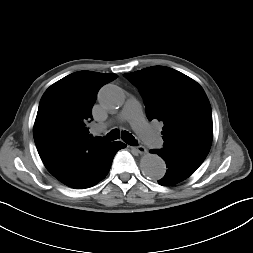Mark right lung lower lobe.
<instances>
[{"label": "right lung lower lobe", "mask_w": 253, "mask_h": 253, "mask_svg": "<svg viewBox=\"0 0 253 253\" xmlns=\"http://www.w3.org/2000/svg\"><path fill=\"white\" fill-rule=\"evenodd\" d=\"M125 147L126 145L120 141L107 143L100 154V171L98 176L94 179L93 182L82 188L91 187L97 184L100 180L104 179L110 170L114 155L118 150Z\"/></svg>", "instance_id": "obj_1"}]
</instances>
